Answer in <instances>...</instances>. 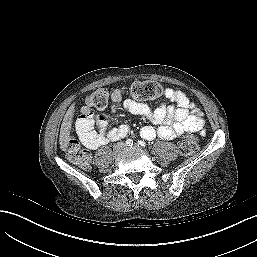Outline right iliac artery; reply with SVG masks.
<instances>
[{"mask_svg":"<svg viewBox=\"0 0 257 257\" xmlns=\"http://www.w3.org/2000/svg\"><path fill=\"white\" fill-rule=\"evenodd\" d=\"M126 145L127 146H132L133 145V140L132 139L126 140Z\"/></svg>","mask_w":257,"mask_h":257,"instance_id":"1","label":"right iliac artery"}]
</instances>
